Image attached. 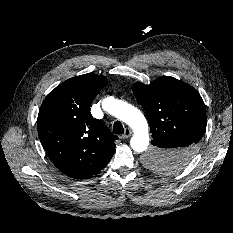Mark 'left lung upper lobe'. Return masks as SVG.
I'll list each match as a JSON object with an SVG mask.
<instances>
[{
	"mask_svg": "<svg viewBox=\"0 0 233 233\" xmlns=\"http://www.w3.org/2000/svg\"><path fill=\"white\" fill-rule=\"evenodd\" d=\"M133 93L147 115L153 137V147L144 157L145 165L163 173L180 170L196 153L206 129L205 105L200 94L188 84L169 76L150 85L137 82ZM164 136L189 140L187 152L191 156L188 162L174 164L168 161L172 153L156 145L154 140Z\"/></svg>",
	"mask_w": 233,
	"mask_h": 233,
	"instance_id": "obj_1",
	"label": "left lung upper lobe"
}]
</instances>
